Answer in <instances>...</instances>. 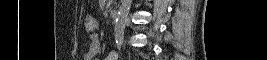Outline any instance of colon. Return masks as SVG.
<instances>
[{
  "label": "colon",
  "instance_id": "obj_1",
  "mask_svg": "<svg viewBox=\"0 0 267 60\" xmlns=\"http://www.w3.org/2000/svg\"><path fill=\"white\" fill-rule=\"evenodd\" d=\"M97 27H98V23L93 16L91 15L85 16L84 28L87 34H93L96 31Z\"/></svg>",
  "mask_w": 267,
  "mask_h": 60
}]
</instances>
